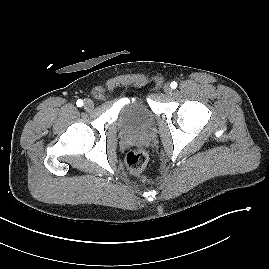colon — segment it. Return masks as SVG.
Returning a JSON list of instances; mask_svg holds the SVG:
<instances>
[{"mask_svg": "<svg viewBox=\"0 0 269 269\" xmlns=\"http://www.w3.org/2000/svg\"><path fill=\"white\" fill-rule=\"evenodd\" d=\"M148 162V154L142 149H134L127 153L125 163L132 173L141 172Z\"/></svg>", "mask_w": 269, "mask_h": 269, "instance_id": "5ec220e1", "label": "colon"}]
</instances>
